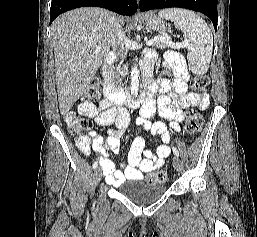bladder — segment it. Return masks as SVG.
<instances>
[{"label": "bladder", "instance_id": "31cf9c89", "mask_svg": "<svg viewBox=\"0 0 257 237\" xmlns=\"http://www.w3.org/2000/svg\"><path fill=\"white\" fill-rule=\"evenodd\" d=\"M166 191L164 183H149L132 180L122 189V194L132 203L145 206L155 202Z\"/></svg>", "mask_w": 257, "mask_h": 237}]
</instances>
